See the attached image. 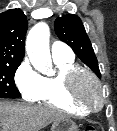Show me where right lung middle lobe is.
Returning <instances> with one entry per match:
<instances>
[{
    "label": "right lung middle lobe",
    "instance_id": "right-lung-middle-lobe-1",
    "mask_svg": "<svg viewBox=\"0 0 117 131\" xmlns=\"http://www.w3.org/2000/svg\"><path fill=\"white\" fill-rule=\"evenodd\" d=\"M20 64V62H0V98L20 97L14 82V75Z\"/></svg>",
    "mask_w": 117,
    "mask_h": 131
}]
</instances>
